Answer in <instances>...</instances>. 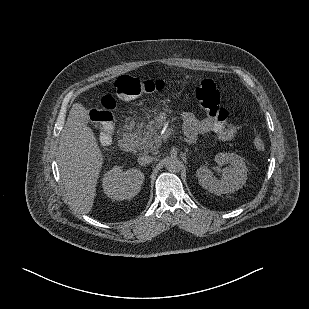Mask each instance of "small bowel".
<instances>
[{
  "instance_id": "c3829d8e",
  "label": "small bowel",
  "mask_w": 309,
  "mask_h": 309,
  "mask_svg": "<svg viewBox=\"0 0 309 309\" xmlns=\"http://www.w3.org/2000/svg\"><path fill=\"white\" fill-rule=\"evenodd\" d=\"M183 126L186 138L193 142L198 136L214 133L219 141H230L236 135V128L226 123H219L210 118L200 119L193 113L183 116Z\"/></svg>"
}]
</instances>
